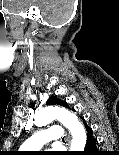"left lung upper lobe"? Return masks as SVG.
Segmentation results:
<instances>
[{"label":"left lung upper lobe","mask_w":119,"mask_h":155,"mask_svg":"<svg viewBox=\"0 0 119 155\" xmlns=\"http://www.w3.org/2000/svg\"><path fill=\"white\" fill-rule=\"evenodd\" d=\"M46 104L48 105H61L66 107L67 103H62L60 100H58L55 96H52L48 99V101L46 102Z\"/></svg>","instance_id":"5c2ea615"}]
</instances>
